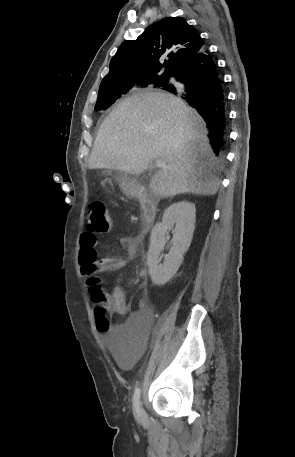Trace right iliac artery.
Wrapping results in <instances>:
<instances>
[{
  "mask_svg": "<svg viewBox=\"0 0 295 457\" xmlns=\"http://www.w3.org/2000/svg\"><path fill=\"white\" fill-rule=\"evenodd\" d=\"M134 410L136 414L140 415V389L136 388L133 395Z\"/></svg>",
  "mask_w": 295,
  "mask_h": 457,
  "instance_id": "right-iliac-artery-1",
  "label": "right iliac artery"
}]
</instances>
